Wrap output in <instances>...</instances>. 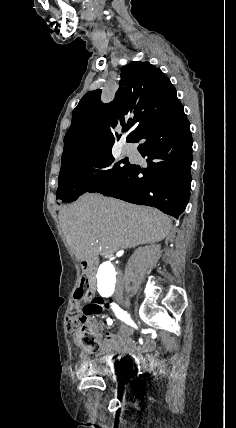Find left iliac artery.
Returning a JSON list of instances; mask_svg holds the SVG:
<instances>
[{
    "label": "left iliac artery",
    "instance_id": "obj_1",
    "mask_svg": "<svg viewBox=\"0 0 236 428\" xmlns=\"http://www.w3.org/2000/svg\"><path fill=\"white\" fill-rule=\"evenodd\" d=\"M113 294V291H102V292H100V295L102 296V297H109V296H111Z\"/></svg>",
    "mask_w": 236,
    "mask_h": 428
}]
</instances>
